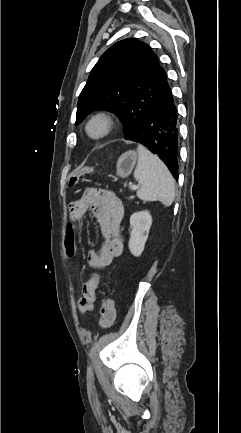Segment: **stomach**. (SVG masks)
Listing matches in <instances>:
<instances>
[{
  "label": "stomach",
  "instance_id": "obj_1",
  "mask_svg": "<svg viewBox=\"0 0 241 433\" xmlns=\"http://www.w3.org/2000/svg\"><path fill=\"white\" fill-rule=\"evenodd\" d=\"M137 161V153L135 151H127L122 154L117 160L116 175L120 178L128 177Z\"/></svg>",
  "mask_w": 241,
  "mask_h": 433
}]
</instances>
